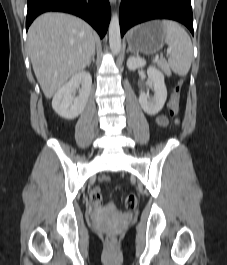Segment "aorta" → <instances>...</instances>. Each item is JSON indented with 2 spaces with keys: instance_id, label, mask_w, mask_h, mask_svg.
I'll return each instance as SVG.
<instances>
[{
  "instance_id": "aorta-1",
  "label": "aorta",
  "mask_w": 227,
  "mask_h": 265,
  "mask_svg": "<svg viewBox=\"0 0 227 265\" xmlns=\"http://www.w3.org/2000/svg\"><path fill=\"white\" fill-rule=\"evenodd\" d=\"M109 45L113 54L118 55L121 50V34L119 17L117 13L113 14L109 24Z\"/></svg>"
}]
</instances>
